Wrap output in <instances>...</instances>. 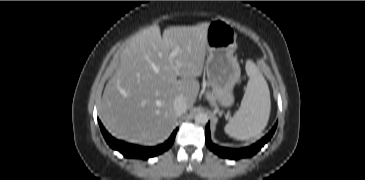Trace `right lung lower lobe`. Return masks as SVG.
I'll return each instance as SVG.
<instances>
[{
    "label": "right lung lower lobe",
    "mask_w": 365,
    "mask_h": 180,
    "mask_svg": "<svg viewBox=\"0 0 365 180\" xmlns=\"http://www.w3.org/2000/svg\"><path fill=\"white\" fill-rule=\"evenodd\" d=\"M100 129L102 131V134L106 140V142L109 144V146L115 150H118L120 153H122L127 158H141V159H148L149 157H154L158 154H161L165 150L169 149L171 145L174 142L177 130L176 129L171 137L163 144L158 145L156 147H142L137 146L133 144H129L120 140L115 139L112 137L103 127L100 120H98Z\"/></svg>",
    "instance_id": "98d812e1"
}]
</instances>
